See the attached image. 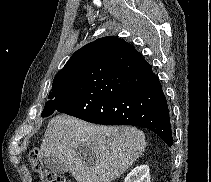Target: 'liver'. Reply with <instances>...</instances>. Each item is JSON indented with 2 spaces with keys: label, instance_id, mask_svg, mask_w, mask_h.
<instances>
[{
  "label": "liver",
  "instance_id": "obj_1",
  "mask_svg": "<svg viewBox=\"0 0 211 182\" xmlns=\"http://www.w3.org/2000/svg\"><path fill=\"white\" fill-rule=\"evenodd\" d=\"M82 147L89 148L95 159L84 160L77 152ZM145 147V135L135 127L92 125L62 114L49 121L40 155L59 159L77 182H112Z\"/></svg>",
  "mask_w": 211,
  "mask_h": 182
}]
</instances>
